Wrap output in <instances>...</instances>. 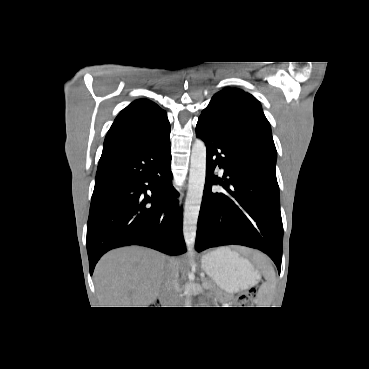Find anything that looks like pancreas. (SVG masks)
I'll return each mask as SVG.
<instances>
[{"label": "pancreas", "mask_w": 369, "mask_h": 369, "mask_svg": "<svg viewBox=\"0 0 369 369\" xmlns=\"http://www.w3.org/2000/svg\"><path fill=\"white\" fill-rule=\"evenodd\" d=\"M202 285H203V288L206 289V290L214 291L216 293H220L218 288L216 287V285L213 282L209 281V280H204Z\"/></svg>", "instance_id": "pancreas-1"}]
</instances>
